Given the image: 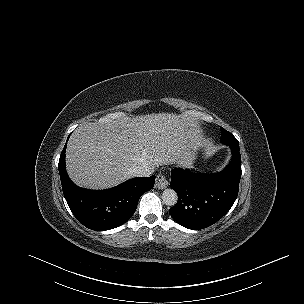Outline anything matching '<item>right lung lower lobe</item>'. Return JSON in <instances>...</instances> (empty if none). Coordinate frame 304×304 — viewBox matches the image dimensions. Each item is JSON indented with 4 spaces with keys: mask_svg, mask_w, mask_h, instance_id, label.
<instances>
[{
    "mask_svg": "<svg viewBox=\"0 0 304 304\" xmlns=\"http://www.w3.org/2000/svg\"><path fill=\"white\" fill-rule=\"evenodd\" d=\"M66 145L59 159L64 197L76 219L89 229L103 231L125 223L135 212L139 198L154 186L155 176L130 179L114 188L93 191L77 187L65 169Z\"/></svg>",
    "mask_w": 304,
    "mask_h": 304,
    "instance_id": "1",
    "label": "right lung lower lobe"
}]
</instances>
